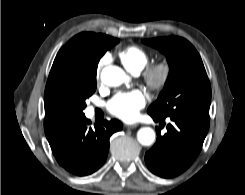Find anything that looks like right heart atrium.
Wrapping results in <instances>:
<instances>
[{
  "mask_svg": "<svg viewBox=\"0 0 245 195\" xmlns=\"http://www.w3.org/2000/svg\"><path fill=\"white\" fill-rule=\"evenodd\" d=\"M108 61V57L107 56H103L99 63H98V66H97V71H96V77H97V80H99V77H100V72L103 68V66L107 63Z\"/></svg>",
  "mask_w": 245,
  "mask_h": 195,
  "instance_id": "d8ad5b80",
  "label": "right heart atrium"
}]
</instances>
